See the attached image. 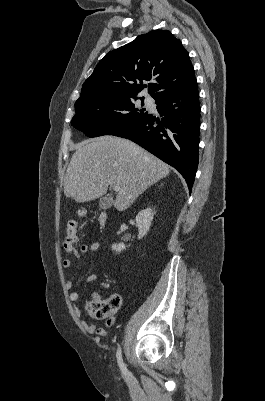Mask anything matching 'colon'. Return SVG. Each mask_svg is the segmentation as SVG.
<instances>
[{
  "instance_id": "5ec220e1",
  "label": "colon",
  "mask_w": 265,
  "mask_h": 401,
  "mask_svg": "<svg viewBox=\"0 0 265 401\" xmlns=\"http://www.w3.org/2000/svg\"><path fill=\"white\" fill-rule=\"evenodd\" d=\"M79 214L83 216L85 215V212L80 211ZM76 239H77V224L74 220H70L67 223L66 238L64 240V243L67 246H72L73 244H75ZM120 305H121L120 297L118 295H113L103 300L97 299L91 301L88 304L87 309L93 318L98 320H104V319L109 320L118 311Z\"/></svg>"
}]
</instances>
